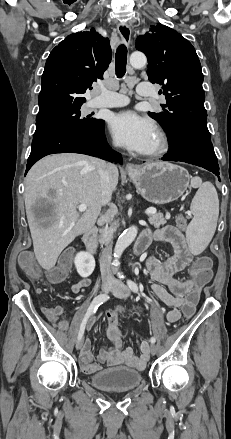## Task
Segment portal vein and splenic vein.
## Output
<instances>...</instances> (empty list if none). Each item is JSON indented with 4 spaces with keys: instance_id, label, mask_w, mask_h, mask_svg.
I'll return each instance as SVG.
<instances>
[{
    "instance_id": "obj_1",
    "label": "portal vein and splenic vein",
    "mask_w": 231,
    "mask_h": 439,
    "mask_svg": "<svg viewBox=\"0 0 231 439\" xmlns=\"http://www.w3.org/2000/svg\"><path fill=\"white\" fill-rule=\"evenodd\" d=\"M87 209V205L86 204H80L79 206H78V210H79V212H83V211H85ZM156 212H157V210L155 209V208H148L147 210H146V214L147 215H153V214H156Z\"/></svg>"
}]
</instances>
